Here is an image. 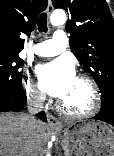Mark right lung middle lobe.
Listing matches in <instances>:
<instances>
[{
	"mask_svg": "<svg viewBox=\"0 0 114 156\" xmlns=\"http://www.w3.org/2000/svg\"><path fill=\"white\" fill-rule=\"evenodd\" d=\"M23 60L19 55L0 54V94H22V71Z\"/></svg>",
	"mask_w": 114,
	"mask_h": 156,
	"instance_id": "right-lung-middle-lobe-1",
	"label": "right lung middle lobe"
}]
</instances>
